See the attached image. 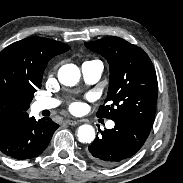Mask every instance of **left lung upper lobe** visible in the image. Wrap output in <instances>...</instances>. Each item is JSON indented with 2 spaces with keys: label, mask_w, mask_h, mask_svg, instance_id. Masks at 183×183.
I'll use <instances>...</instances> for the list:
<instances>
[{
  "label": "left lung upper lobe",
  "mask_w": 183,
  "mask_h": 183,
  "mask_svg": "<svg viewBox=\"0 0 183 183\" xmlns=\"http://www.w3.org/2000/svg\"><path fill=\"white\" fill-rule=\"evenodd\" d=\"M104 56L110 68L109 89L97 116L112 120L129 118L153 126L157 101V76L148 55L119 37L85 43Z\"/></svg>",
  "instance_id": "5c2ea615"
}]
</instances>
